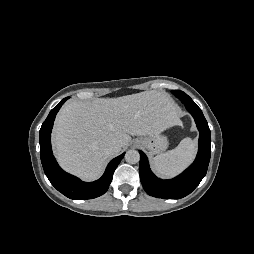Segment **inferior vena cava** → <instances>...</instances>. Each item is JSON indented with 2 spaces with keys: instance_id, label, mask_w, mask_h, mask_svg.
Listing matches in <instances>:
<instances>
[{
  "instance_id": "1",
  "label": "inferior vena cava",
  "mask_w": 254,
  "mask_h": 254,
  "mask_svg": "<svg viewBox=\"0 0 254 254\" xmlns=\"http://www.w3.org/2000/svg\"><path fill=\"white\" fill-rule=\"evenodd\" d=\"M120 145L117 143H111L106 147V153L108 155H114L120 151Z\"/></svg>"
}]
</instances>
